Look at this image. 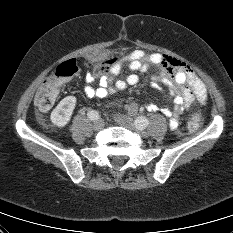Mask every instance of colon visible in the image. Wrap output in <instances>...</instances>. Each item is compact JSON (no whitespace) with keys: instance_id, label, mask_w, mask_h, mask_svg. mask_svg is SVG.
<instances>
[{"instance_id":"obj_1","label":"colon","mask_w":233,"mask_h":233,"mask_svg":"<svg viewBox=\"0 0 233 233\" xmlns=\"http://www.w3.org/2000/svg\"><path fill=\"white\" fill-rule=\"evenodd\" d=\"M116 58L104 61L95 70L96 74H107L116 62ZM78 71V63L71 59L60 64L53 75L48 77L35 94L34 103L41 112L50 110L56 100L58 91L63 81L73 76ZM201 125L198 114H194L188 121L187 128L190 132L196 131Z\"/></svg>"}]
</instances>
